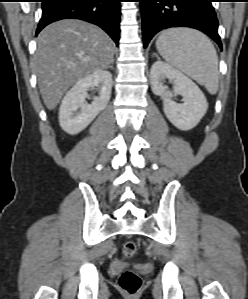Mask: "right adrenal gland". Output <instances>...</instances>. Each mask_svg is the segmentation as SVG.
<instances>
[{
	"mask_svg": "<svg viewBox=\"0 0 248 299\" xmlns=\"http://www.w3.org/2000/svg\"><path fill=\"white\" fill-rule=\"evenodd\" d=\"M113 62H114V60H113L112 63L107 67V69L110 68L111 70H113Z\"/></svg>",
	"mask_w": 248,
	"mask_h": 299,
	"instance_id": "2a0ac1e0",
	"label": "right adrenal gland"
}]
</instances>
